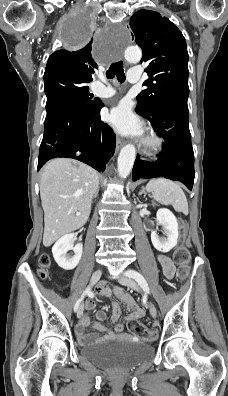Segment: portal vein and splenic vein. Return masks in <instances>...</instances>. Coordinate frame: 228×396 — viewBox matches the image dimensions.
Instances as JSON below:
<instances>
[{
    "label": "portal vein and splenic vein",
    "instance_id": "18ae733b",
    "mask_svg": "<svg viewBox=\"0 0 228 396\" xmlns=\"http://www.w3.org/2000/svg\"><path fill=\"white\" fill-rule=\"evenodd\" d=\"M76 215H77V216H79V215H80V213H79V212H77V213H76Z\"/></svg>",
    "mask_w": 228,
    "mask_h": 396
}]
</instances>
